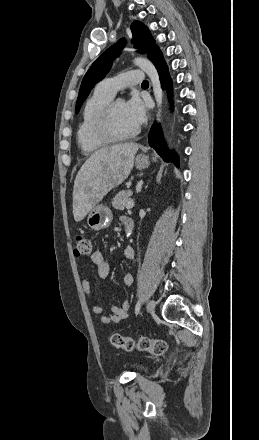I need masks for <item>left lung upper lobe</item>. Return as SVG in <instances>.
Returning <instances> with one entry per match:
<instances>
[{
	"label": "left lung upper lobe",
	"mask_w": 259,
	"mask_h": 440,
	"mask_svg": "<svg viewBox=\"0 0 259 440\" xmlns=\"http://www.w3.org/2000/svg\"><path fill=\"white\" fill-rule=\"evenodd\" d=\"M133 35L132 43L141 52H148L150 58L153 52L158 48L152 38L149 29L140 21H134L131 25ZM124 39L120 40L110 48H108L89 68L85 74L76 103L75 112L78 113L81 105L89 95L91 89L101 81L109 72L113 60L118 56V52L124 47Z\"/></svg>",
	"instance_id": "5c2ea615"
}]
</instances>
